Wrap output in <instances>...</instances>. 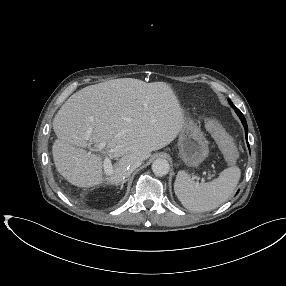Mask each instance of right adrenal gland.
I'll list each match as a JSON object with an SVG mask.
<instances>
[{"instance_id":"obj_1","label":"right adrenal gland","mask_w":286,"mask_h":286,"mask_svg":"<svg viewBox=\"0 0 286 286\" xmlns=\"http://www.w3.org/2000/svg\"><path fill=\"white\" fill-rule=\"evenodd\" d=\"M125 181H122L120 184V189L122 190Z\"/></svg>"}]
</instances>
